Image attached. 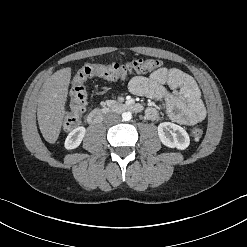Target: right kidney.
<instances>
[{"mask_svg":"<svg viewBox=\"0 0 247 247\" xmlns=\"http://www.w3.org/2000/svg\"><path fill=\"white\" fill-rule=\"evenodd\" d=\"M85 133H86V129L83 126L77 127L74 130H72L68 134V136L65 140V148L66 149L77 148L81 144V142L85 136Z\"/></svg>","mask_w":247,"mask_h":247,"instance_id":"right-kidney-1","label":"right kidney"}]
</instances>
